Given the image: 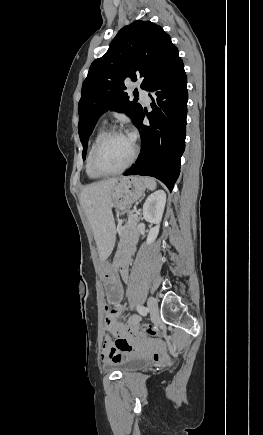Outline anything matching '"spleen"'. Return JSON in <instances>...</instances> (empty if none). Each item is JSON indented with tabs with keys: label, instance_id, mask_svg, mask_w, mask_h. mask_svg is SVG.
Listing matches in <instances>:
<instances>
[{
	"label": "spleen",
	"instance_id": "obj_1",
	"mask_svg": "<svg viewBox=\"0 0 263 435\" xmlns=\"http://www.w3.org/2000/svg\"><path fill=\"white\" fill-rule=\"evenodd\" d=\"M142 180H143L145 186L149 190H154L156 188L157 183H156L155 179L150 178V177H144V178H142Z\"/></svg>",
	"mask_w": 263,
	"mask_h": 435
}]
</instances>
